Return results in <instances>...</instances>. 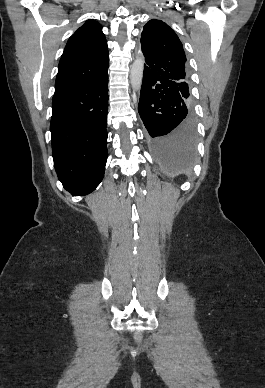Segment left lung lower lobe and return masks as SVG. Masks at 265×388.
<instances>
[{"mask_svg":"<svg viewBox=\"0 0 265 388\" xmlns=\"http://www.w3.org/2000/svg\"><path fill=\"white\" fill-rule=\"evenodd\" d=\"M183 97L179 83L144 69L138 112L156 160L167 171L189 169L194 161V113Z\"/></svg>","mask_w":265,"mask_h":388,"instance_id":"0a47b994","label":"left lung lower lobe"}]
</instances>
